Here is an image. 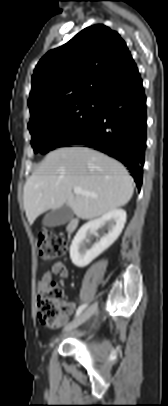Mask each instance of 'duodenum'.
Returning a JSON list of instances; mask_svg holds the SVG:
<instances>
[{
    "label": "duodenum",
    "mask_w": 168,
    "mask_h": 406,
    "mask_svg": "<svg viewBox=\"0 0 168 406\" xmlns=\"http://www.w3.org/2000/svg\"><path fill=\"white\" fill-rule=\"evenodd\" d=\"M78 224H79V221L77 218L71 219V221L69 222L68 227H67L68 232L69 233L74 232L77 229Z\"/></svg>",
    "instance_id": "obj_1"
}]
</instances>
